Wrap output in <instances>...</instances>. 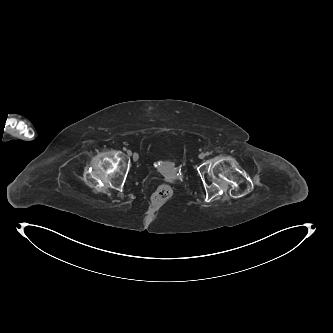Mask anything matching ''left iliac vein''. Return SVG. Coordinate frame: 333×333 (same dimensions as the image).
Here are the masks:
<instances>
[{"label": "left iliac vein", "instance_id": "4c4485c4", "mask_svg": "<svg viewBox=\"0 0 333 333\" xmlns=\"http://www.w3.org/2000/svg\"><path fill=\"white\" fill-rule=\"evenodd\" d=\"M205 156H206V154H205V153H200V154H199V158H200V159H203V158H205Z\"/></svg>", "mask_w": 333, "mask_h": 333}]
</instances>
